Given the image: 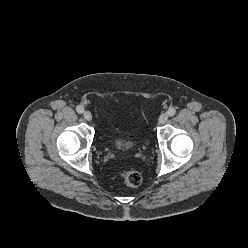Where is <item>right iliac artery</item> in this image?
<instances>
[{
  "instance_id": "1",
  "label": "right iliac artery",
  "mask_w": 248,
  "mask_h": 248,
  "mask_svg": "<svg viewBox=\"0 0 248 248\" xmlns=\"http://www.w3.org/2000/svg\"><path fill=\"white\" fill-rule=\"evenodd\" d=\"M76 111H77L78 113L82 114V113L84 112V107L81 106V105H79V106H77Z\"/></svg>"
}]
</instances>
